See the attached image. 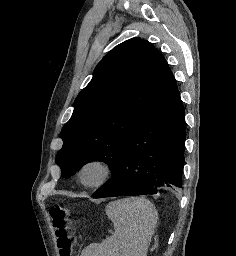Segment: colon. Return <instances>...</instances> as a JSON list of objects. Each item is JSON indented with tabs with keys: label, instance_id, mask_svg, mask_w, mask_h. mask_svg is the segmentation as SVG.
Listing matches in <instances>:
<instances>
[{
	"label": "colon",
	"instance_id": "colon-1",
	"mask_svg": "<svg viewBox=\"0 0 236 256\" xmlns=\"http://www.w3.org/2000/svg\"><path fill=\"white\" fill-rule=\"evenodd\" d=\"M48 216L56 238L59 256H72L74 237L67 228L69 211L61 204H53L48 209Z\"/></svg>",
	"mask_w": 236,
	"mask_h": 256
}]
</instances>
